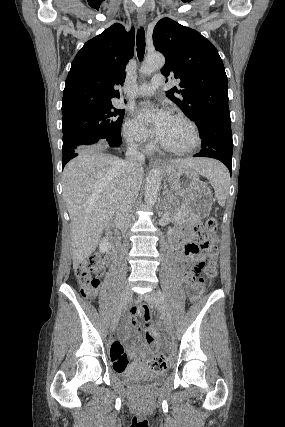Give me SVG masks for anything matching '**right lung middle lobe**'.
I'll list each match as a JSON object with an SVG mask.
<instances>
[{
    "label": "right lung middle lobe",
    "mask_w": 285,
    "mask_h": 427,
    "mask_svg": "<svg viewBox=\"0 0 285 427\" xmlns=\"http://www.w3.org/2000/svg\"><path fill=\"white\" fill-rule=\"evenodd\" d=\"M124 113L125 110L116 109L110 104L63 117V155L79 147H118L122 142L121 125Z\"/></svg>",
    "instance_id": "1"
}]
</instances>
